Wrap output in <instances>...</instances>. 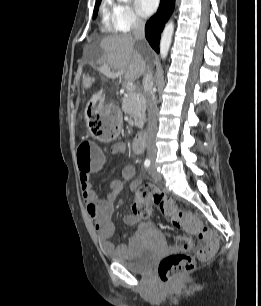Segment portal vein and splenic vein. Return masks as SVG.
Here are the masks:
<instances>
[{
  "mask_svg": "<svg viewBox=\"0 0 261 306\" xmlns=\"http://www.w3.org/2000/svg\"><path fill=\"white\" fill-rule=\"evenodd\" d=\"M106 72H108L109 74H111L109 70H107ZM124 72H125V71H120V72H118V73L113 74V76L122 75ZM126 88H127V90H135V89H136V88H135V85H134L132 82H127V83H126Z\"/></svg>",
  "mask_w": 261,
  "mask_h": 306,
  "instance_id": "obj_1",
  "label": "portal vein and splenic vein"
}]
</instances>
